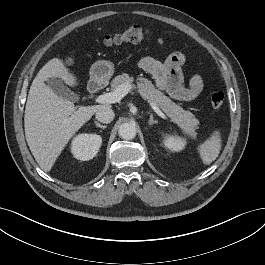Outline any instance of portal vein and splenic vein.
I'll use <instances>...</instances> for the list:
<instances>
[{
	"instance_id": "obj_1",
	"label": "portal vein and splenic vein",
	"mask_w": 265,
	"mask_h": 265,
	"mask_svg": "<svg viewBox=\"0 0 265 265\" xmlns=\"http://www.w3.org/2000/svg\"><path fill=\"white\" fill-rule=\"evenodd\" d=\"M131 90V85L123 84L120 85L115 91L104 93L96 97L95 102L97 103H116L119 102L128 92ZM140 94L150 103L152 109L163 119H166L164 113L158 108V106L144 93Z\"/></svg>"
}]
</instances>
